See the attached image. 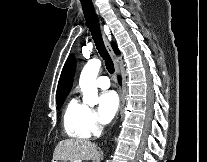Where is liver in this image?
<instances>
[{
  "label": "liver",
  "mask_w": 207,
  "mask_h": 162,
  "mask_svg": "<svg viewBox=\"0 0 207 162\" xmlns=\"http://www.w3.org/2000/svg\"><path fill=\"white\" fill-rule=\"evenodd\" d=\"M101 153L97 146L88 140L65 139L60 141L54 150L52 162L62 160L64 162L100 160Z\"/></svg>",
  "instance_id": "6515ba94"
}]
</instances>
